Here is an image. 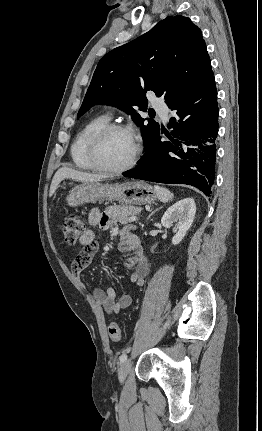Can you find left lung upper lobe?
<instances>
[{
	"instance_id": "left-lung-upper-lobe-1",
	"label": "left lung upper lobe",
	"mask_w": 262,
	"mask_h": 431,
	"mask_svg": "<svg viewBox=\"0 0 262 431\" xmlns=\"http://www.w3.org/2000/svg\"><path fill=\"white\" fill-rule=\"evenodd\" d=\"M213 78L201 30L184 16H169L149 32L108 52L99 61L77 117L96 104L131 114L148 146L159 124L135 113L147 110L146 91L179 104Z\"/></svg>"
}]
</instances>
